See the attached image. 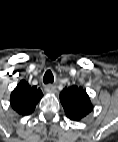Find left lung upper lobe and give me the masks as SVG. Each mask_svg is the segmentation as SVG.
<instances>
[{"label": "left lung upper lobe", "mask_w": 118, "mask_h": 142, "mask_svg": "<svg viewBox=\"0 0 118 142\" xmlns=\"http://www.w3.org/2000/svg\"><path fill=\"white\" fill-rule=\"evenodd\" d=\"M60 101L66 116L73 121H80L93 110L88 94L77 85L65 88L60 94Z\"/></svg>", "instance_id": "5c2ea615"}]
</instances>
